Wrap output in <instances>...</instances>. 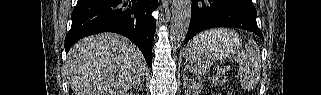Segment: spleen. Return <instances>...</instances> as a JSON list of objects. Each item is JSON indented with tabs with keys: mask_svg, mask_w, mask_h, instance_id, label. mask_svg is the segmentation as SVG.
Masks as SVG:
<instances>
[{
	"mask_svg": "<svg viewBox=\"0 0 321 95\" xmlns=\"http://www.w3.org/2000/svg\"><path fill=\"white\" fill-rule=\"evenodd\" d=\"M229 32L223 29L211 30L202 33L193 39L197 44L201 40L216 42L227 36ZM239 64L238 77L241 85L251 90L257 86L261 75V55L256 42L249 40L245 47L235 57ZM187 68L195 74H205L209 71V61L202 56L186 57Z\"/></svg>",
	"mask_w": 321,
	"mask_h": 95,
	"instance_id": "3e777b00",
	"label": "spleen"
}]
</instances>
